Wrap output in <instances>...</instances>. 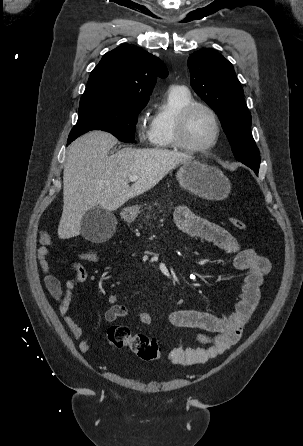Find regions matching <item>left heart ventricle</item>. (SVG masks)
<instances>
[{
	"label": "left heart ventricle",
	"instance_id": "left-heart-ventricle-1",
	"mask_svg": "<svg viewBox=\"0 0 303 446\" xmlns=\"http://www.w3.org/2000/svg\"><path fill=\"white\" fill-rule=\"evenodd\" d=\"M214 136V125L210 115L203 109H196L189 116L186 139L193 146H205Z\"/></svg>",
	"mask_w": 303,
	"mask_h": 446
}]
</instances>
